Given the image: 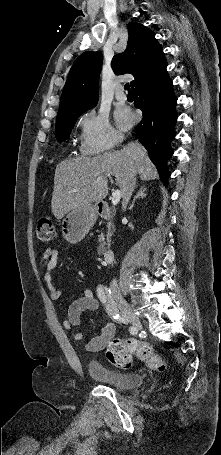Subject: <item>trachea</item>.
<instances>
[{
	"instance_id": "1",
	"label": "trachea",
	"mask_w": 221,
	"mask_h": 455,
	"mask_svg": "<svg viewBox=\"0 0 221 455\" xmlns=\"http://www.w3.org/2000/svg\"><path fill=\"white\" fill-rule=\"evenodd\" d=\"M124 89L128 91V93H132L129 84H125Z\"/></svg>"
}]
</instances>
